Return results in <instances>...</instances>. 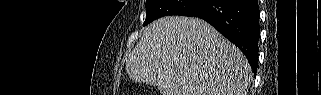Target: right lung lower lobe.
I'll return each mask as SVG.
<instances>
[{"mask_svg":"<svg viewBox=\"0 0 321 95\" xmlns=\"http://www.w3.org/2000/svg\"><path fill=\"white\" fill-rule=\"evenodd\" d=\"M190 17H199L235 44L256 74L260 37L258 0H207Z\"/></svg>","mask_w":321,"mask_h":95,"instance_id":"98d812e1","label":"right lung lower lobe"}]
</instances>
